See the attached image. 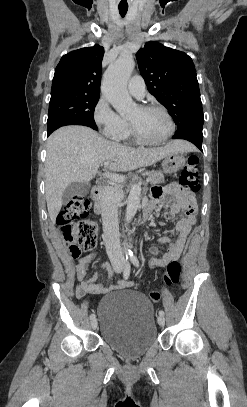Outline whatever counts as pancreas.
I'll return each instance as SVG.
<instances>
[{
    "label": "pancreas",
    "instance_id": "pancreas-1",
    "mask_svg": "<svg viewBox=\"0 0 247 407\" xmlns=\"http://www.w3.org/2000/svg\"><path fill=\"white\" fill-rule=\"evenodd\" d=\"M150 178L151 184H158L164 182V175L160 171H148L145 173ZM103 198V192H100L98 195V199L101 200Z\"/></svg>",
    "mask_w": 247,
    "mask_h": 407
}]
</instances>
